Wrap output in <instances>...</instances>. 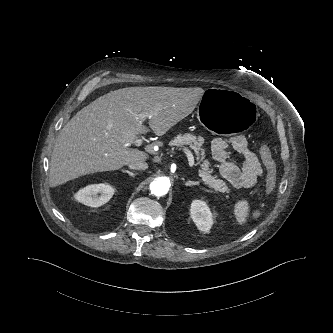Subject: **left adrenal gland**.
<instances>
[{"mask_svg": "<svg viewBox=\"0 0 333 333\" xmlns=\"http://www.w3.org/2000/svg\"><path fill=\"white\" fill-rule=\"evenodd\" d=\"M185 185L186 186H195V185H197V186H199V182L198 181H187V182H185Z\"/></svg>", "mask_w": 333, "mask_h": 333, "instance_id": "1", "label": "left adrenal gland"}]
</instances>
